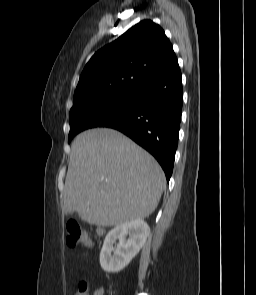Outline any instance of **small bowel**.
I'll list each match as a JSON object with an SVG mask.
<instances>
[{"instance_id":"small-bowel-1","label":"small bowel","mask_w":256,"mask_h":295,"mask_svg":"<svg viewBox=\"0 0 256 295\" xmlns=\"http://www.w3.org/2000/svg\"><path fill=\"white\" fill-rule=\"evenodd\" d=\"M93 295H104V290H103V288H102L101 286H98V287L95 289Z\"/></svg>"}]
</instances>
